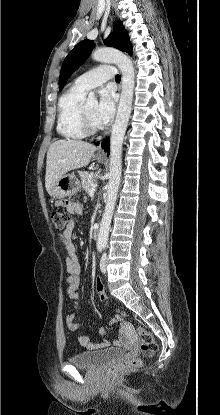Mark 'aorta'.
Masks as SVG:
<instances>
[{
	"label": "aorta",
	"mask_w": 220,
	"mask_h": 415,
	"mask_svg": "<svg viewBox=\"0 0 220 415\" xmlns=\"http://www.w3.org/2000/svg\"><path fill=\"white\" fill-rule=\"evenodd\" d=\"M92 58L98 62L114 63L122 73L121 96L110 140V178L107 184V201L98 235V244L104 246L108 241L115 201L121 180L122 145L132 109L135 70L130 58L113 48L97 49L92 53ZM87 102H97L93 92L89 93Z\"/></svg>",
	"instance_id": "aorta-1"
}]
</instances>
